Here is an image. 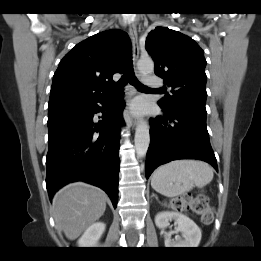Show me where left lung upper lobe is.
Wrapping results in <instances>:
<instances>
[{"label":"left lung upper lobe","mask_w":261,"mask_h":261,"mask_svg":"<svg viewBox=\"0 0 261 261\" xmlns=\"http://www.w3.org/2000/svg\"><path fill=\"white\" fill-rule=\"evenodd\" d=\"M146 50L154 60L155 74L172 88L159 106L169 110L186 103L206 111V60L201 47L187 35L156 27L146 38Z\"/></svg>","instance_id":"obj_1"}]
</instances>
